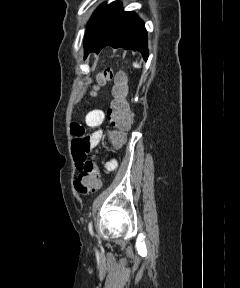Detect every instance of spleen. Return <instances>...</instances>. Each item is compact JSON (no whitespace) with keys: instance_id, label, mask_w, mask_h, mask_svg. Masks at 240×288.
Returning <instances> with one entry per match:
<instances>
[{"instance_id":"1","label":"spleen","mask_w":240,"mask_h":288,"mask_svg":"<svg viewBox=\"0 0 240 288\" xmlns=\"http://www.w3.org/2000/svg\"><path fill=\"white\" fill-rule=\"evenodd\" d=\"M133 66H134L135 68H139V67H140V65H139L138 63H133Z\"/></svg>"}]
</instances>
